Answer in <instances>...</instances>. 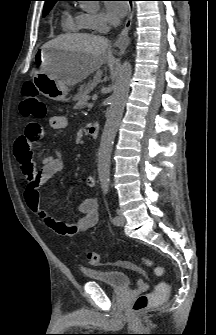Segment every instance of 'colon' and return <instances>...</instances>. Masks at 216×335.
<instances>
[{
    "label": "colon",
    "mask_w": 216,
    "mask_h": 335,
    "mask_svg": "<svg viewBox=\"0 0 216 335\" xmlns=\"http://www.w3.org/2000/svg\"><path fill=\"white\" fill-rule=\"evenodd\" d=\"M20 110L25 117L37 119L43 118L46 114V105L40 98L34 85L30 82H26L23 85ZM84 258L87 263L93 266H98L102 263L101 254L93 250H85ZM142 263L147 267H153L155 275L161 276L163 274V269L161 267H154L149 258L143 257ZM169 292L170 287L166 283H160L153 292L142 294L136 298L132 307L133 311L142 312L158 305L168 297Z\"/></svg>",
    "instance_id": "obj_1"
}]
</instances>
